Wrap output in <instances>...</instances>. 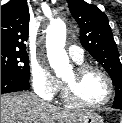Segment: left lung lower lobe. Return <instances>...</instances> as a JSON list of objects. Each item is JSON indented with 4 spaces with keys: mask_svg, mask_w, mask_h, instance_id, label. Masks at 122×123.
Segmentation results:
<instances>
[{
    "mask_svg": "<svg viewBox=\"0 0 122 123\" xmlns=\"http://www.w3.org/2000/svg\"><path fill=\"white\" fill-rule=\"evenodd\" d=\"M112 108H116V109L122 110V102H115V103L112 105Z\"/></svg>",
    "mask_w": 122,
    "mask_h": 123,
    "instance_id": "1",
    "label": "left lung lower lobe"
}]
</instances>
